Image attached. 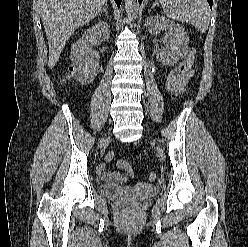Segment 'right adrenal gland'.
<instances>
[{
	"mask_svg": "<svg viewBox=\"0 0 248 247\" xmlns=\"http://www.w3.org/2000/svg\"><path fill=\"white\" fill-rule=\"evenodd\" d=\"M107 8H108L107 3H105L104 6H103V8L101 9L100 13L104 12L105 15H106V17L109 18Z\"/></svg>",
	"mask_w": 248,
	"mask_h": 247,
	"instance_id": "right-adrenal-gland-1",
	"label": "right adrenal gland"
}]
</instances>
